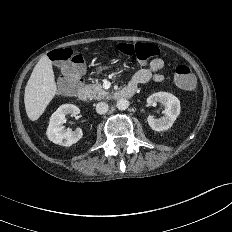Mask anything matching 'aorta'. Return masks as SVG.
<instances>
[{"instance_id": "aorta-1", "label": "aorta", "mask_w": 232, "mask_h": 232, "mask_svg": "<svg viewBox=\"0 0 232 232\" xmlns=\"http://www.w3.org/2000/svg\"><path fill=\"white\" fill-rule=\"evenodd\" d=\"M129 106V101L125 98H121L117 101L116 107L119 110H126Z\"/></svg>"}]
</instances>
